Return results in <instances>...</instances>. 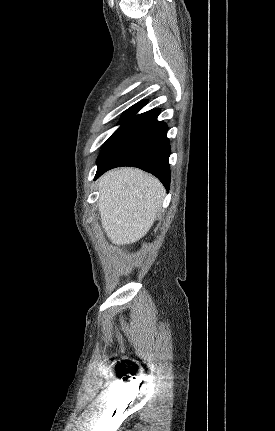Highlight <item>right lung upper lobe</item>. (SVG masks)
I'll return each mask as SVG.
<instances>
[{
  "label": "right lung upper lobe",
  "instance_id": "1",
  "mask_svg": "<svg viewBox=\"0 0 275 431\" xmlns=\"http://www.w3.org/2000/svg\"><path fill=\"white\" fill-rule=\"evenodd\" d=\"M147 101H141L135 105H133L131 108H129L127 113H133L136 114L142 107L146 105Z\"/></svg>",
  "mask_w": 275,
  "mask_h": 431
}]
</instances>
